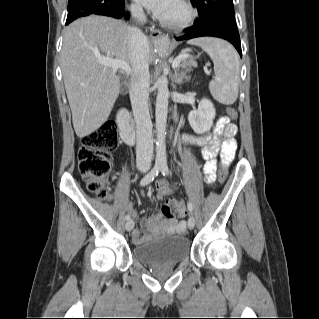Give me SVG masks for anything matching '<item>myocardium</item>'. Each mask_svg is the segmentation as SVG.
<instances>
[{"mask_svg":"<svg viewBox=\"0 0 319 319\" xmlns=\"http://www.w3.org/2000/svg\"><path fill=\"white\" fill-rule=\"evenodd\" d=\"M179 3L184 10L183 16L178 19H167L161 17L159 18V23L162 26L173 30H181L189 26L195 19L197 11L189 0H179Z\"/></svg>","mask_w":319,"mask_h":319,"instance_id":"f54148a6","label":"myocardium"}]
</instances>
